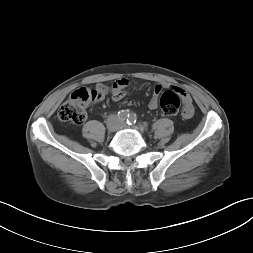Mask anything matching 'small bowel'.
Wrapping results in <instances>:
<instances>
[{"instance_id": "obj_1", "label": "small bowel", "mask_w": 253, "mask_h": 253, "mask_svg": "<svg viewBox=\"0 0 253 253\" xmlns=\"http://www.w3.org/2000/svg\"><path fill=\"white\" fill-rule=\"evenodd\" d=\"M128 84L129 80L126 78H121L114 81L110 90L112 99L115 101L121 100L125 95L124 88L128 86ZM97 88L103 91L105 95L108 93V88L102 84L97 85ZM166 88L173 90L180 95L183 103V107L180 110L181 118L184 120L191 119L195 115V108L192 106V98L184 89L167 83H158L155 85L152 96L148 103L149 109L155 110L158 108L159 96L161 92Z\"/></svg>"}]
</instances>
